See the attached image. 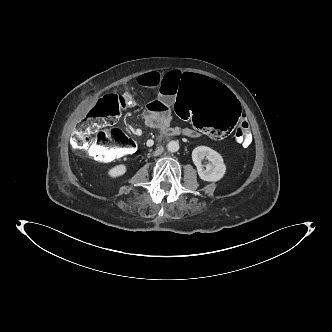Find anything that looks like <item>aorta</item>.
Wrapping results in <instances>:
<instances>
[{
  "label": "aorta",
  "instance_id": "obj_1",
  "mask_svg": "<svg viewBox=\"0 0 332 332\" xmlns=\"http://www.w3.org/2000/svg\"><path fill=\"white\" fill-rule=\"evenodd\" d=\"M167 149L170 152H177L179 150V143H178V141H170L167 144Z\"/></svg>",
  "mask_w": 332,
  "mask_h": 332
}]
</instances>
